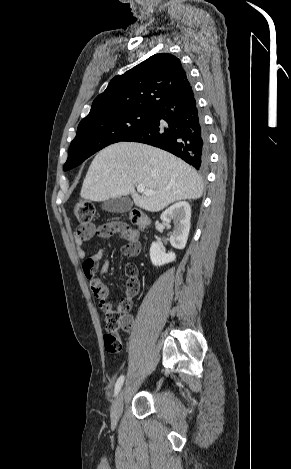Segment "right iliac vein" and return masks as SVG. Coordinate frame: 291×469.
<instances>
[{
    "label": "right iliac vein",
    "instance_id": "obj_1",
    "mask_svg": "<svg viewBox=\"0 0 291 469\" xmlns=\"http://www.w3.org/2000/svg\"><path fill=\"white\" fill-rule=\"evenodd\" d=\"M124 397H125V390L122 389L119 391L111 409V417H112L113 424H117L121 416L123 405H124L123 403Z\"/></svg>",
    "mask_w": 291,
    "mask_h": 469
}]
</instances>
